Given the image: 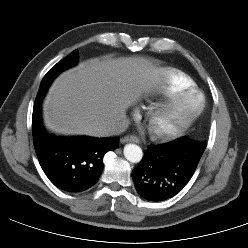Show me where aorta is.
Instances as JSON below:
<instances>
[{
  "label": "aorta",
  "instance_id": "1",
  "mask_svg": "<svg viewBox=\"0 0 248 248\" xmlns=\"http://www.w3.org/2000/svg\"><path fill=\"white\" fill-rule=\"evenodd\" d=\"M124 156L131 163H138L143 157L142 149L136 144H127L124 147Z\"/></svg>",
  "mask_w": 248,
  "mask_h": 248
}]
</instances>
